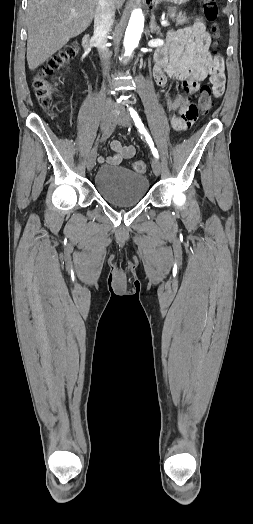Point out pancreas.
I'll return each mask as SVG.
<instances>
[{
  "mask_svg": "<svg viewBox=\"0 0 253 524\" xmlns=\"http://www.w3.org/2000/svg\"><path fill=\"white\" fill-rule=\"evenodd\" d=\"M168 16L176 22L177 26L184 25L188 22L186 14L178 11L176 7L168 8Z\"/></svg>",
  "mask_w": 253,
  "mask_h": 524,
  "instance_id": "1",
  "label": "pancreas"
}]
</instances>
